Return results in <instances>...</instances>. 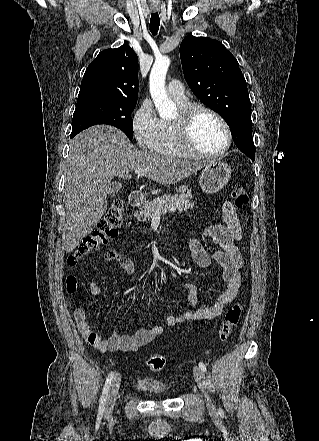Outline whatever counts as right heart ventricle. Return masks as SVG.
<instances>
[{"instance_id": "obj_1", "label": "right heart ventricle", "mask_w": 319, "mask_h": 441, "mask_svg": "<svg viewBox=\"0 0 319 441\" xmlns=\"http://www.w3.org/2000/svg\"><path fill=\"white\" fill-rule=\"evenodd\" d=\"M181 109L186 108L189 103H179ZM154 151L159 155L172 156V157H189L184 152L176 140L175 132L172 123L169 121H161V134L160 138L154 148Z\"/></svg>"}]
</instances>
